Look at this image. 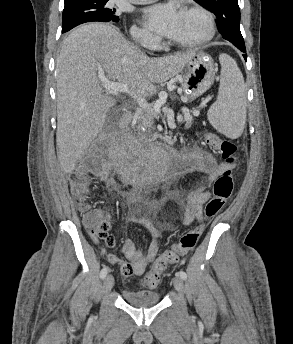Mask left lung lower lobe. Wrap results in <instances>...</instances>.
Here are the masks:
<instances>
[{
	"label": "left lung lower lobe",
	"instance_id": "1",
	"mask_svg": "<svg viewBox=\"0 0 293 344\" xmlns=\"http://www.w3.org/2000/svg\"><path fill=\"white\" fill-rule=\"evenodd\" d=\"M239 50H241L242 52H246V48H245V45H240V46H236ZM245 60L247 59V55L244 54L243 55Z\"/></svg>",
	"mask_w": 293,
	"mask_h": 344
}]
</instances>
